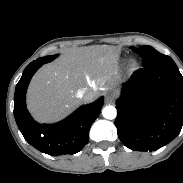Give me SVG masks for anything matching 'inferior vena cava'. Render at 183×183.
I'll list each match as a JSON object with an SVG mask.
<instances>
[{
	"label": "inferior vena cava",
	"instance_id": "1",
	"mask_svg": "<svg viewBox=\"0 0 183 183\" xmlns=\"http://www.w3.org/2000/svg\"><path fill=\"white\" fill-rule=\"evenodd\" d=\"M96 96V91L89 88L82 89L77 92V97L82 99L86 103L92 102L96 98Z\"/></svg>",
	"mask_w": 183,
	"mask_h": 183
}]
</instances>
